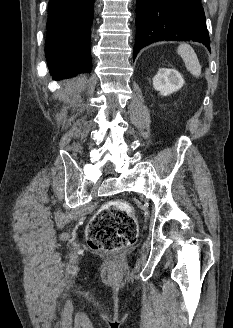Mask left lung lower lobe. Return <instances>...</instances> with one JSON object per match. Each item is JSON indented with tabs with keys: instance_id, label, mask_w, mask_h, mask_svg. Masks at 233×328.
Masks as SVG:
<instances>
[{
	"instance_id": "obj_1",
	"label": "left lung lower lobe",
	"mask_w": 233,
	"mask_h": 328,
	"mask_svg": "<svg viewBox=\"0 0 233 328\" xmlns=\"http://www.w3.org/2000/svg\"><path fill=\"white\" fill-rule=\"evenodd\" d=\"M134 58L157 41H198L210 50L200 0H137Z\"/></svg>"
}]
</instances>
